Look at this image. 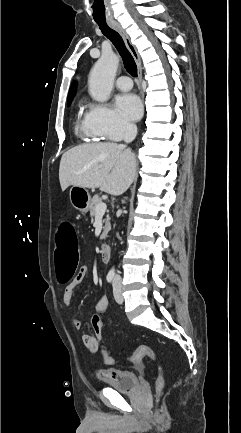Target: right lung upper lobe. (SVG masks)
Wrapping results in <instances>:
<instances>
[{"instance_id":"obj_1","label":"right lung upper lobe","mask_w":241,"mask_h":433,"mask_svg":"<svg viewBox=\"0 0 241 433\" xmlns=\"http://www.w3.org/2000/svg\"><path fill=\"white\" fill-rule=\"evenodd\" d=\"M75 84L71 87V89H70V92H69V95H68V100H69V103H70V101H71V99H72V97H73V95H74V93H75Z\"/></svg>"}]
</instances>
